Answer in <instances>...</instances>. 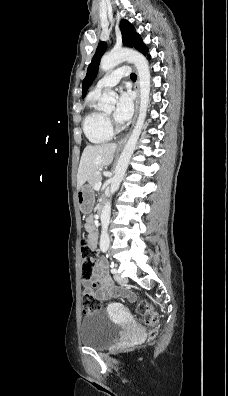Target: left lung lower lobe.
Returning <instances> with one entry per match:
<instances>
[{
	"mask_svg": "<svg viewBox=\"0 0 228 396\" xmlns=\"http://www.w3.org/2000/svg\"><path fill=\"white\" fill-rule=\"evenodd\" d=\"M144 54H147V49L144 51Z\"/></svg>",
	"mask_w": 228,
	"mask_h": 396,
	"instance_id": "1",
	"label": "left lung lower lobe"
}]
</instances>
